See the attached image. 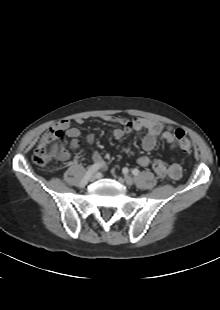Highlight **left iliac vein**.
Instances as JSON below:
<instances>
[{"instance_id": "left-iliac-vein-1", "label": "left iliac vein", "mask_w": 220, "mask_h": 310, "mask_svg": "<svg viewBox=\"0 0 220 310\" xmlns=\"http://www.w3.org/2000/svg\"><path fill=\"white\" fill-rule=\"evenodd\" d=\"M124 181L127 185H132L134 183V179L129 175L124 176Z\"/></svg>"}]
</instances>
